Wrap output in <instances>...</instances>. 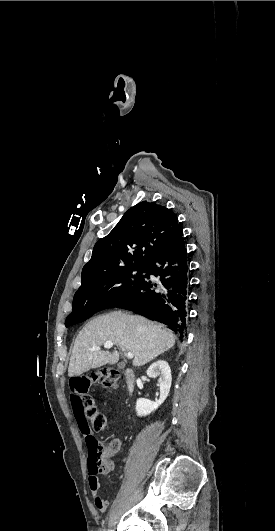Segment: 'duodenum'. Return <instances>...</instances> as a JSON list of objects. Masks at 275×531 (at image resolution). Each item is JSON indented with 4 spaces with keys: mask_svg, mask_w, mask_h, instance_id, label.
I'll return each mask as SVG.
<instances>
[{
    "mask_svg": "<svg viewBox=\"0 0 275 531\" xmlns=\"http://www.w3.org/2000/svg\"><path fill=\"white\" fill-rule=\"evenodd\" d=\"M123 378H124L128 393H132L135 389V384H136V376H135L134 371L131 368L124 369Z\"/></svg>",
    "mask_w": 275,
    "mask_h": 531,
    "instance_id": "410a0bca",
    "label": "duodenum"
}]
</instances>
